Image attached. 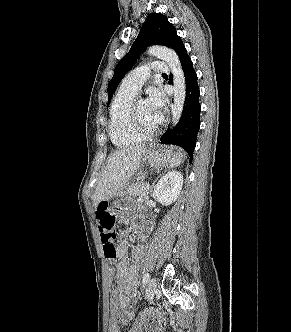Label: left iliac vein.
<instances>
[{
	"instance_id": "left-iliac-vein-1",
	"label": "left iliac vein",
	"mask_w": 291,
	"mask_h": 332,
	"mask_svg": "<svg viewBox=\"0 0 291 332\" xmlns=\"http://www.w3.org/2000/svg\"><path fill=\"white\" fill-rule=\"evenodd\" d=\"M157 293V284L155 278H151L148 282L147 290H146V298L149 301L154 299V296Z\"/></svg>"
}]
</instances>
